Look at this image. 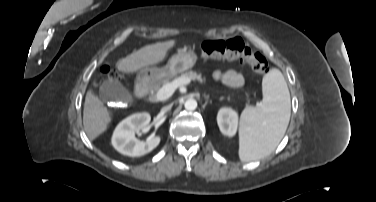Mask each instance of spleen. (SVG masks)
<instances>
[{
    "label": "spleen",
    "instance_id": "obj_1",
    "mask_svg": "<svg viewBox=\"0 0 376 202\" xmlns=\"http://www.w3.org/2000/svg\"><path fill=\"white\" fill-rule=\"evenodd\" d=\"M262 91V102L244 109L240 117L239 157L244 162L261 159L275 150L290 120V93L279 69L264 75Z\"/></svg>",
    "mask_w": 376,
    "mask_h": 202
}]
</instances>
